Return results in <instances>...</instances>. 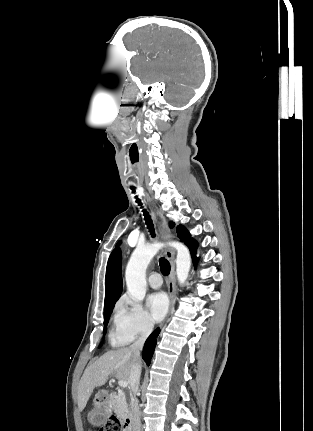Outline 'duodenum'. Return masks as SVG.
Segmentation results:
<instances>
[{
	"mask_svg": "<svg viewBox=\"0 0 313 431\" xmlns=\"http://www.w3.org/2000/svg\"><path fill=\"white\" fill-rule=\"evenodd\" d=\"M125 431H137L136 419L133 414H128L123 420Z\"/></svg>",
	"mask_w": 313,
	"mask_h": 431,
	"instance_id": "410a0bca",
	"label": "duodenum"
}]
</instances>
